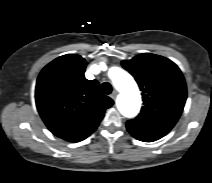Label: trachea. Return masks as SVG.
<instances>
[{"instance_id": "3493384b", "label": "trachea", "mask_w": 212, "mask_h": 183, "mask_svg": "<svg viewBox=\"0 0 212 183\" xmlns=\"http://www.w3.org/2000/svg\"><path fill=\"white\" fill-rule=\"evenodd\" d=\"M101 89H102L103 93H104V94H107V95H108V94H111V92H112V86H111V84L108 83V82L102 83Z\"/></svg>"}]
</instances>
